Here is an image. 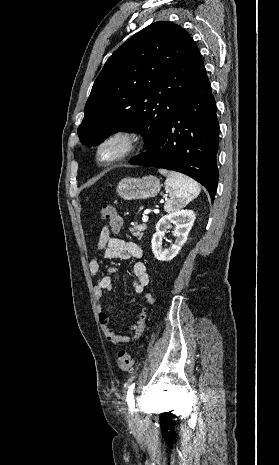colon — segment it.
<instances>
[{"instance_id": "colon-1", "label": "colon", "mask_w": 279, "mask_h": 465, "mask_svg": "<svg viewBox=\"0 0 279 465\" xmlns=\"http://www.w3.org/2000/svg\"><path fill=\"white\" fill-rule=\"evenodd\" d=\"M101 217L109 221L111 230L116 233L122 227V217L116 212L115 208L110 204H104L100 209ZM117 364L120 370L124 372H130L134 368V361L131 355L125 351L121 350L117 354Z\"/></svg>"}]
</instances>
